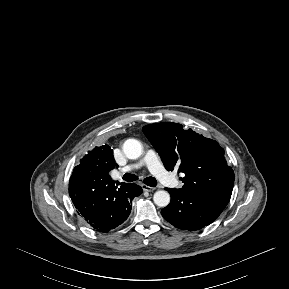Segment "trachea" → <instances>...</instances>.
I'll return each mask as SVG.
<instances>
[{"label": "trachea", "mask_w": 289, "mask_h": 289, "mask_svg": "<svg viewBox=\"0 0 289 289\" xmlns=\"http://www.w3.org/2000/svg\"><path fill=\"white\" fill-rule=\"evenodd\" d=\"M123 179L127 182H133L134 180H137V176L134 174L126 173L123 176ZM143 182L150 186V187H155L157 185V181L154 177H146Z\"/></svg>", "instance_id": "3493384b"}]
</instances>
